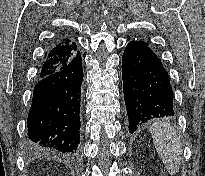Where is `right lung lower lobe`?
Masks as SVG:
<instances>
[{
    "label": "right lung lower lobe",
    "mask_w": 205,
    "mask_h": 176,
    "mask_svg": "<svg viewBox=\"0 0 205 176\" xmlns=\"http://www.w3.org/2000/svg\"><path fill=\"white\" fill-rule=\"evenodd\" d=\"M82 81L79 51L69 62L39 78L27 119L31 150L70 154L78 151Z\"/></svg>",
    "instance_id": "1"
}]
</instances>
